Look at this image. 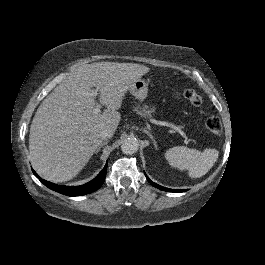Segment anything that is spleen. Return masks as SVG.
I'll return each mask as SVG.
<instances>
[{
  "instance_id": "1",
  "label": "spleen",
  "mask_w": 265,
  "mask_h": 265,
  "mask_svg": "<svg viewBox=\"0 0 265 265\" xmlns=\"http://www.w3.org/2000/svg\"><path fill=\"white\" fill-rule=\"evenodd\" d=\"M218 155L219 152L216 149L200 152L185 146H176L166 151L165 158L172 167L180 170L187 169L191 178H199L213 167Z\"/></svg>"
}]
</instances>
